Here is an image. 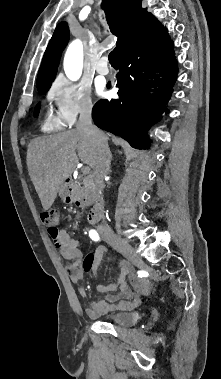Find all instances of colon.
<instances>
[{"mask_svg":"<svg viewBox=\"0 0 221 379\" xmlns=\"http://www.w3.org/2000/svg\"><path fill=\"white\" fill-rule=\"evenodd\" d=\"M43 224L48 228L51 235H55L60 224V216L56 210H48L41 214Z\"/></svg>","mask_w":221,"mask_h":379,"instance_id":"1","label":"colon"}]
</instances>
